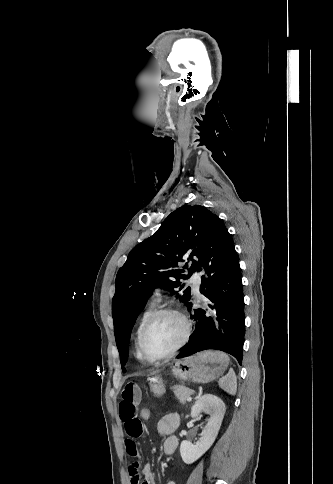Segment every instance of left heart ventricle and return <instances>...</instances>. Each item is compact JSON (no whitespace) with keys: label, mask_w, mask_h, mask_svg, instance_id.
I'll return each instance as SVG.
<instances>
[{"label":"left heart ventricle","mask_w":333,"mask_h":484,"mask_svg":"<svg viewBox=\"0 0 333 484\" xmlns=\"http://www.w3.org/2000/svg\"><path fill=\"white\" fill-rule=\"evenodd\" d=\"M184 333L182 321L174 315L158 318L150 327L145 348L152 357H160L171 351L181 340Z\"/></svg>","instance_id":"obj_1"}]
</instances>
